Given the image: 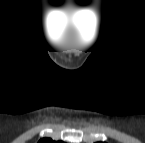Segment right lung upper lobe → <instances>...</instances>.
I'll use <instances>...</instances> for the list:
<instances>
[{
    "instance_id": "right-lung-upper-lobe-1",
    "label": "right lung upper lobe",
    "mask_w": 145,
    "mask_h": 143,
    "mask_svg": "<svg viewBox=\"0 0 145 143\" xmlns=\"http://www.w3.org/2000/svg\"><path fill=\"white\" fill-rule=\"evenodd\" d=\"M38 143H55V141L50 138H43Z\"/></svg>"
}]
</instances>
